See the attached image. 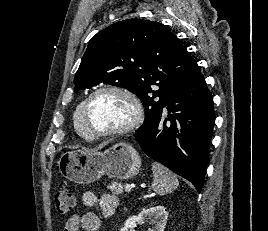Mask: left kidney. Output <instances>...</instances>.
Instances as JSON below:
<instances>
[{
  "mask_svg": "<svg viewBox=\"0 0 268 231\" xmlns=\"http://www.w3.org/2000/svg\"><path fill=\"white\" fill-rule=\"evenodd\" d=\"M168 212L164 206H153L142 210L137 216L129 217L124 227L120 231H134L137 223H143L144 220H152L154 226L149 228L148 231H164L167 223Z\"/></svg>",
  "mask_w": 268,
  "mask_h": 231,
  "instance_id": "5707ae66",
  "label": "left kidney"
}]
</instances>
